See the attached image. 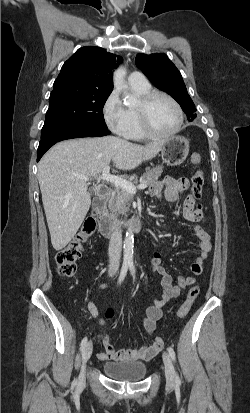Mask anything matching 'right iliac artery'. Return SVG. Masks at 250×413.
Returning a JSON list of instances; mask_svg holds the SVG:
<instances>
[{"instance_id": "1", "label": "right iliac artery", "mask_w": 250, "mask_h": 413, "mask_svg": "<svg viewBox=\"0 0 250 413\" xmlns=\"http://www.w3.org/2000/svg\"><path fill=\"white\" fill-rule=\"evenodd\" d=\"M127 270H128V265L127 264H123L122 268H121V272H120V276L118 279V284H121V282L124 280L126 274H127ZM87 337H84L83 340L81 341V349L84 348V346L87 343Z\"/></svg>"}]
</instances>
